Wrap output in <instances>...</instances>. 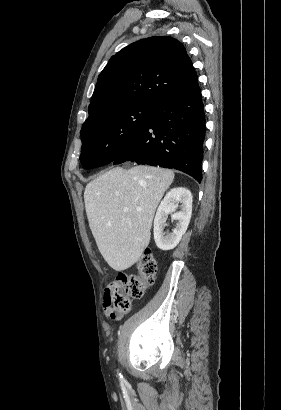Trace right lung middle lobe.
Here are the masks:
<instances>
[{"label":"right lung middle lobe","mask_w":281,"mask_h":410,"mask_svg":"<svg viewBox=\"0 0 281 410\" xmlns=\"http://www.w3.org/2000/svg\"><path fill=\"white\" fill-rule=\"evenodd\" d=\"M155 107L129 105L111 108L84 122L80 161L85 169L113 162L143 131Z\"/></svg>","instance_id":"obj_1"}]
</instances>
